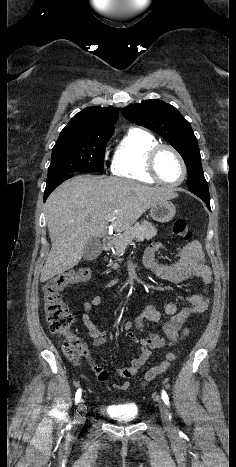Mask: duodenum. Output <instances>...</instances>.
I'll list each match as a JSON object with an SVG mask.
<instances>
[{
	"instance_id": "duodenum-1",
	"label": "duodenum",
	"mask_w": 236,
	"mask_h": 467,
	"mask_svg": "<svg viewBox=\"0 0 236 467\" xmlns=\"http://www.w3.org/2000/svg\"><path fill=\"white\" fill-rule=\"evenodd\" d=\"M111 246V241L109 237H104L102 240V248L104 251H109ZM113 283V282H112Z\"/></svg>"
}]
</instances>
